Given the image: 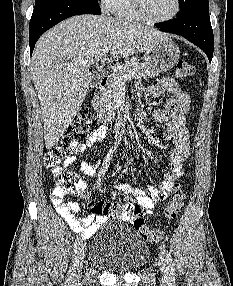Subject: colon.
Returning a JSON list of instances; mask_svg holds the SVG:
<instances>
[{
	"label": "colon",
	"instance_id": "colon-1",
	"mask_svg": "<svg viewBox=\"0 0 233 286\" xmlns=\"http://www.w3.org/2000/svg\"><path fill=\"white\" fill-rule=\"evenodd\" d=\"M195 73V67L185 60H179L176 64V75L180 80H186ZM91 126V118L87 110H81L73 119L59 142L46 152L44 162L46 167L58 176L60 187L74 193L85 191V184L73 172L63 170L61 163L70 158L80 140ZM185 194L179 185L174 188L171 198L164 208V219L166 222L174 220L182 211ZM124 211L122 210V213ZM132 224L138 234L151 243L159 242L163 236L162 229L152 228L145 224L142 213L138 208L131 211Z\"/></svg>",
	"mask_w": 233,
	"mask_h": 286
}]
</instances>
